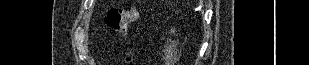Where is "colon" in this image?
Masks as SVG:
<instances>
[{
    "mask_svg": "<svg viewBox=\"0 0 309 65\" xmlns=\"http://www.w3.org/2000/svg\"><path fill=\"white\" fill-rule=\"evenodd\" d=\"M138 18V11L131 6L126 9L113 8L107 11L104 16V23L112 31L118 32L125 30L128 25L135 22ZM136 60L135 53L128 50L125 55L126 64H134Z\"/></svg>",
    "mask_w": 309,
    "mask_h": 65,
    "instance_id": "obj_1",
    "label": "colon"
}]
</instances>
